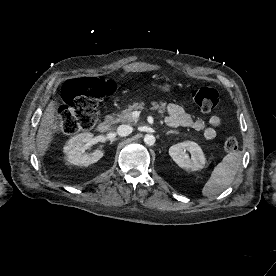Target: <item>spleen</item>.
Wrapping results in <instances>:
<instances>
[{
  "label": "spleen",
  "instance_id": "3e777b00",
  "mask_svg": "<svg viewBox=\"0 0 276 276\" xmlns=\"http://www.w3.org/2000/svg\"><path fill=\"white\" fill-rule=\"evenodd\" d=\"M242 161L240 152H231L214 168L202 189V194L211 197L223 192L234 180Z\"/></svg>",
  "mask_w": 276,
  "mask_h": 276
}]
</instances>
